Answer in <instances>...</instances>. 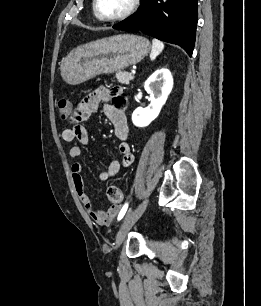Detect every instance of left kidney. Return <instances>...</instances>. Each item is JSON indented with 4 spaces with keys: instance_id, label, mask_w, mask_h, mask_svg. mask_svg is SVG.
Listing matches in <instances>:
<instances>
[{
    "instance_id": "5707ae66",
    "label": "left kidney",
    "mask_w": 261,
    "mask_h": 306,
    "mask_svg": "<svg viewBox=\"0 0 261 306\" xmlns=\"http://www.w3.org/2000/svg\"><path fill=\"white\" fill-rule=\"evenodd\" d=\"M144 88L150 95L146 108L138 107L132 114V122L137 127H146L155 120L173 88V77L168 69L155 71L145 82Z\"/></svg>"
}]
</instances>
